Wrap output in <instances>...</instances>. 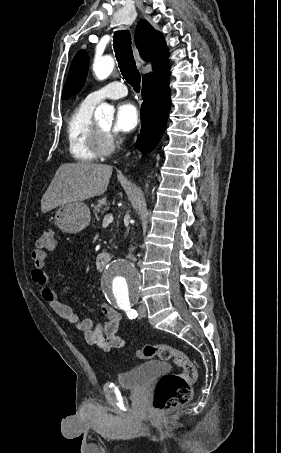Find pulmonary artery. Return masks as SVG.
<instances>
[{
    "instance_id": "1",
    "label": "pulmonary artery",
    "mask_w": 281,
    "mask_h": 453,
    "mask_svg": "<svg viewBox=\"0 0 281 453\" xmlns=\"http://www.w3.org/2000/svg\"><path fill=\"white\" fill-rule=\"evenodd\" d=\"M127 94V89L122 82L113 81L108 83L107 85L103 86L102 88L98 89L90 93L87 96V100L92 103H99L100 101L106 98H120Z\"/></svg>"
}]
</instances>
